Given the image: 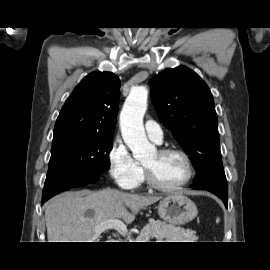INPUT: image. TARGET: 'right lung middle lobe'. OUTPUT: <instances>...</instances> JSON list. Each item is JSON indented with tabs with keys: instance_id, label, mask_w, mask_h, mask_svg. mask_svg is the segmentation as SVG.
I'll use <instances>...</instances> for the list:
<instances>
[{
	"instance_id": "1",
	"label": "right lung middle lobe",
	"mask_w": 270,
	"mask_h": 270,
	"mask_svg": "<svg viewBox=\"0 0 270 270\" xmlns=\"http://www.w3.org/2000/svg\"><path fill=\"white\" fill-rule=\"evenodd\" d=\"M113 135L63 131L54 133L47 177L70 172L76 177L94 178L110 167ZM60 187H53L50 193Z\"/></svg>"
}]
</instances>
